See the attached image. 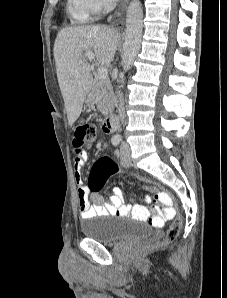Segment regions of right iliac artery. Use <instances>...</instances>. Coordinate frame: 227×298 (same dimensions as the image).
I'll return each instance as SVG.
<instances>
[{"label":"right iliac artery","mask_w":227,"mask_h":298,"mask_svg":"<svg viewBox=\"0 0 227 298\" xmlns=\"http://www.w3.org/2000/svg\"><path fill=\"white\" fill-rule=\"evenodd\" d=\"M111 141L114 146H117L120 143L121 138L119 136H114Z\"/></svg>","instance_id":"1"}]
</instances>
